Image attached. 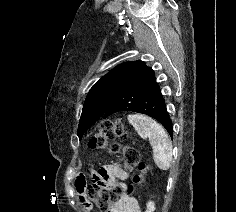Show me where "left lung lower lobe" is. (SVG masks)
I'll return each mask as SVG.
<instances>
[{"label": "left lung lower lobe", "instance_id": "obj_1", "mask_svg": "<svg viewBox=\"0 0 236 212\" xmlns=\"http://www.w3.org/2000/svg\"><path fill=\"white\" fill-rule=\"evenodd\" d=\"M122 111L142 113L156 119L166 128L171 138L173 137L172 122L154 71L143 61L101 117L107 118Z\"/></svg>", "mask_w": 236, "mask_h": 212}]
</instances>
